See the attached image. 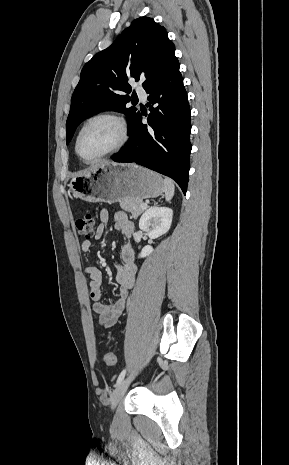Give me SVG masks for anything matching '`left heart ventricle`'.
<instances>
[{"label":"left heart ventricle","instance_id":"obj_1","mask_svg":"<svg viewBox=\"0 0 289 465\" xmlns=\"http://www.w3.org/2000/svg\"><path fill=\"white\" fill-rule=\"evenodd\" d=\"M120 139L118 126L106 119L91 122L79 140V152L85 159L94 158L113 148Z\"/></svg>","mask_w":289,"mask_h":465}]
</instances>
